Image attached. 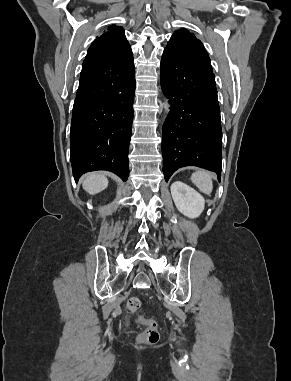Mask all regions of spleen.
Segmentation results:
<instances>
[{
	"label": "spleen",
	"instance_id": "3e777b00",
	"mask_svg": "<svg viewBox=\"0 0 291 381\" xmlns=\"http://www.w3.org/2000/svg\"><path fill=\"white\" fill-rule=\"evenodd\" d=\"M191 180L200 191L207 195L211 194L213 190V182L209 172L198 170L192 174Z\"/></svg>",
	"mask_w": 291,
	"mask_h": 381
}]
</instances>
